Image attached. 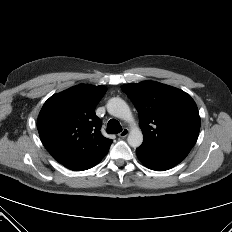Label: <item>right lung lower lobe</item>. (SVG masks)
<instances>
[{
  "label": "right lung lower lobe",
  "mask_w": 232,
  "mask_h": 232,
  "mask_svg": "<svg viewBox=\"0 0 232 232\" xmlns=\"http://www.w3.org/2000/svg\"><path fill=\"white\" fill-rule=\"evenodd\" d=\"M98 163H99V161L98 162H94V163H90V164H84V165L74 166V167H71L69 169L74 170V171H82V170L89 169V168L95 166Z\"/></svg>",
  "instance_id": "1"
}]
</instances>
